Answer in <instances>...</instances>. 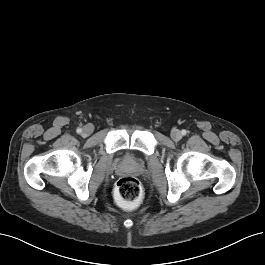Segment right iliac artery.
<instances>
[{"label": "right iliac artery", "mask_w": 265, "mask_h": 265, "mask_svg": "<svg viewBox=\"0 0 265 265\" xmlns=\"http://www.w3.org/2000/svg\"><path fill=\"white\" fill-rule=\"evenodd\" d=\"M76 131H77V133H81L82 132V129L81 128H78Z\"/></svg>", "instance_id": "1"}]
</instances>
